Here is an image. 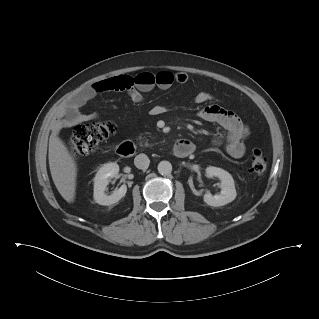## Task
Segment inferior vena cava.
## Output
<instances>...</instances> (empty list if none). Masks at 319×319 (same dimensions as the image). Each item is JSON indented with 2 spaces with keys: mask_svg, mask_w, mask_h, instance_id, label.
I'll list each match as a JSON object with an SVG mask.
<instances>
[{
  "mask_svg": "<svg viewBox=\"0 0 319 319\" xmlns=\"http://www.w3.org/2000/svg\"><path fill=\"white\" fill-rule=\"evenodd\" d=\"M134 164L137 168L145 170L148 168L150 164V160L147 155L139 154L135 157Z\"/></svg>",
  "mask_w": 319,
  "mask_h": 319,
  "instance_id": "1",
  "label": "inferior vena cava"
}]
</instances>
